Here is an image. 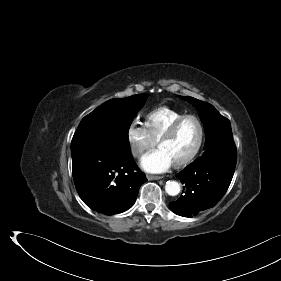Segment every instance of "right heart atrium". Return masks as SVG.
<instances>
[{
	"mask_svg": "<svg viewBox=\"0 0 281 281\" xmlns=\"http://www.w3.org/2000/svg\"><path fill=\"white\" fill-rule=\"evenodd\" d=\"M127 140L131 153L137 158L143 156L156 145V141L150 136L146 127L136 121L128 127Z\"/></svg>",
	"mask_w": 281,
	"mask_h": 281,
	"instance_id": "d8ad5b80",
	"label": "right heart atrium"
}]
</instances>
